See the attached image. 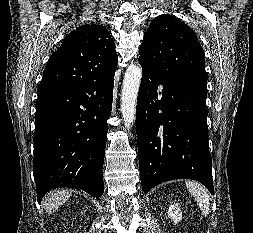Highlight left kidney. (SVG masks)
Returning <instances> with one entry per match:
<instances>
[{
    "mask_svg": "<svg viewBox=\"0 0 253 233\" xmlns=\"http://www.w3.org/2000/svg\"><path fill=\"white\" fill-rule=\"evenodd\" d=\"M168 216L177 224L182 220V212L178 203H173L169 206Z\"/></svg>",
    "mask_w": 253,
    "mask_h": 233,
    "instance_id": "left-kidney-1",
    "label": "left kidney"
}]
</instances>
